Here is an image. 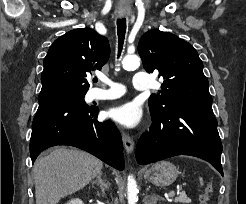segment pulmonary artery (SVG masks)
I'll list each match as a JSON object with an SVG mask.
<instances>
[{"label": "pulmonary artery", "instance_id": "pulmonary-artery-1", "mask_svg": "<svg viewBox=\"0 0 246 204\" xmlns=\"http://www.w3.org/2000/svg\"><path fill=\"white\" fill-rule=\"evenodd\" d=\"M101 80L103 83L109 85L110 88L107 90L99 88L92 89L89 94L91 100L101 101L116 99L124 94L125 89L122 85L115 83L106 77L101 78ZM133 86L137 90L149 89L151 87L149 75L145 72L135 73L133 76Z\"/></svg>", "mask_w": 246, "mask_h": 204}]
</instances>
